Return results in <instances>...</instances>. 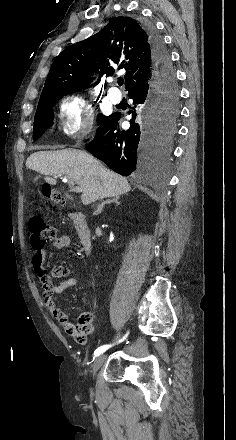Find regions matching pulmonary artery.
<instances>
[{"label":"pulmonary artery","mask_w":236,"mask_h":440,"mask_svg":"<svg viewBox=\"0 0 236 440\" xmlns=\"http://www.w3.org/2000/svg\"><path fill=\"white\" fill-rule=\"evenodd\" d=\"M108 97L112 103H119L121 101V93L117 89H111L108 92Z\"/></svg>","instance_id":"obj_1"}]
</instances>
